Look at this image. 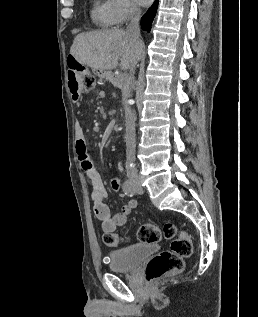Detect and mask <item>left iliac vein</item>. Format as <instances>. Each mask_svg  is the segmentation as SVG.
<instances>
[{
	"label": "left iliac vein",
	"mask_w": 258,
	"mask_h": 317,
	"mask_svg": "<svg viewBox=\"0 0 258 317\" xmlns=\"http://www.w3.org/2000/svg\"><path fill=\"white\" fill-rule=\"evenodd\" d=\"M128 181H129V183H131V184L134 183V182L136 183V184H134V186H133L134 189H135L134 192H135L136 195H141L142 192H143V191H142L143 188H142V186H141L140 184H137V183L139 182V179H138V178H135V179H134V178L131 177V178H129Z\"/></svg>",
	"instance_id": "left-iliac-vein-1"
}]
</instances>
